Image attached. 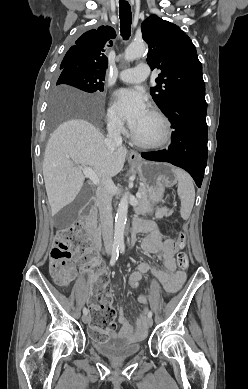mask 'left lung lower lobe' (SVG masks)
<instances>
[{
    "label": "left lung lower lobe",
    "instance_id": "1",
    "mask_svg": "<svg viewBox=\"0 0 248 389\" xmlns=\"http://www.w3.org/2000/svg\"><path fill=\"white\" fill-rule=\"evenodd\" d=\"M207 103L205 88L194 89L178 96L163 111L169 117L172 141L168 150L142 153L152 161H165L186 170L201 186L207 164Z\"/></svg>",
    "mask_w": 248,
    "mask_h": 389
}]
</instances>
